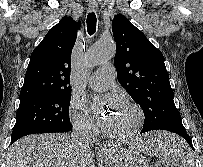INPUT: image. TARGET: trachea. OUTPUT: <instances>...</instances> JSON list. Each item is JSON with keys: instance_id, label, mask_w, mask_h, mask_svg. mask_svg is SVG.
Listing matches in <instances>:
<instances>
[{"instance_id": "1", "label": "trachea", "mask_w": 203, "mask_h": 167, "mask_svg": "<svg viewBox=\"0 0 203 167\" xmlns=\"http://www.w3.org/2000/svg\"><path fill=\"white\" fill-rule=\"evenodd\" d=\"M96 23H97V19H96V15L95 13H89L87 15V31L89 33V35H93L96 31Z\"/></svg>"}]
</instances>
